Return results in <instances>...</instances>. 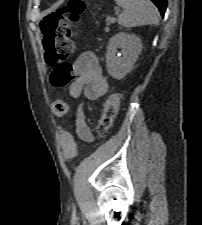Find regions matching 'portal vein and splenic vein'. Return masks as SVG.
Returning <instances> with one entry per match:
<instances>
[{
  "label": "portal vein and splenic vein",
  "mask_w": 202,
  "mask_h": 225,
  "mask_svg": "<svg viewBox=\"0 0 202 225\" xmlns=\"http://www.w3.org/2000/svg\"><path fill=\"white\" fill-rule=\"evenodd\" d=\"M119 11H120V10H119V9H117V10H116V14H118V13H119ZM109 19L111 20V22H114V21H115V18H114V17H111V18H109Z\"/></svg>",
  "instance_id": "1"
}]
</instances>
